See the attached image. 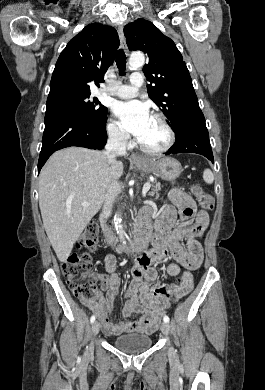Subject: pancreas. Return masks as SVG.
<instances>
[{
    "mask_svg": "<svg viewBox=\"0 0 265 390\" xmlns=\"http://www.w3.org/2000/svg\"><path fill=\"white\" fill-rule=\"evenodd\" d=\"M160 189H161L160 184L158 182H155V185L152 188L151 195L157 194Z\"/></svg>",
    "mask_w": 265,
    "mask_h": 390,
    "instance_id": "pancreas-1",
    "label": "pancreas"
}]
</instances>
